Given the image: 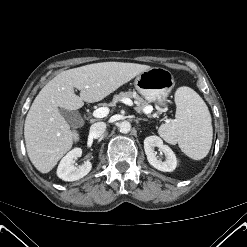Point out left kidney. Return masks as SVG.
<instances>
[{"mask_svg": "<svg viewBox=\"0 0 247 247\" xmlns=\"http://www.w3.org/2000/svg\"><path fill=\"white\" fill-rule=\"evenodd\" d=\"M155 147H158L160 151L166 156V160L162 161L156 157ZM144 150L147 156V160L154 168L163 172H172L177 166V159L172 149L163 144L160 137L154 135L145 138Z\"/></svg>", "mask_w": 247, "mask_h": 247, "instance_id": "5707ae66", "label": "left kidney"}]
</instances>
